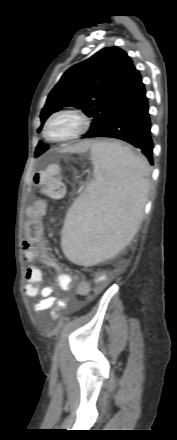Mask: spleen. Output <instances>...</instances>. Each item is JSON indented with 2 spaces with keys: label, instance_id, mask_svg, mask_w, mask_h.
<instances>
[{
  "label": "spleen",
  "instance_id": "1",
  "mask_svg": "<svg viewBox=\"0 0 177 440\" xmlns=\"http://www.w3.org/2000/svg\"><path fill=\"white\" fill-rule=\"evenodd\" d=\"M95 180L67 212L61 231L64 255L80 265L114 257L134 237L143 218L149 166L117 142L91 149Z\"/></svg>",
  "mask_w": 177,
  "mask_h": 440
}]
</instances>
